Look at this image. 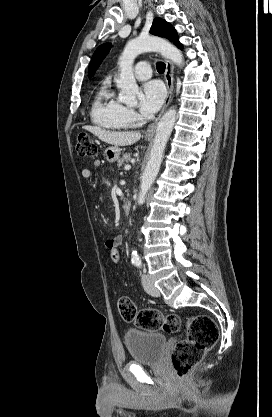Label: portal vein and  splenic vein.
<instances>
[{"label": "portal vein and splenic vein", "mask_w": 272, "mask_h": 417, "mask_svg": "<svg viewBox=\"0 0 272 417\" xmlns=\"http://www.w3.org/2000/svg\"><path fill=\"white\" fill-rule=\"evenodd\" d=\"M131 166L130 165H126L125 166V170H130Z\"/></svg>", "instance_id": "18ae733b"}]
</instances>
